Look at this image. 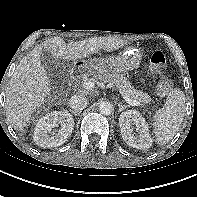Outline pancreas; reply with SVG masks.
I'll use <instances>...</instances> for the list:
<instances>
[{"instance_id": "obj_1", "label": "pancreas", "mask_w": 197, "mask_h": 197, "mask_svg": "<svg viewBox=\"0 0 197 197\" xmlns=\"http://www.w3.org/2000/svg\"><path fill=\"white\" fill-rule=\"evenodd\" d=\"M92 80L110 83L116 86L122 95L140 103H149L151 101L147 93L135 89L123 74L116 72L95 73Z\"/></svg>"}]
</instances>
